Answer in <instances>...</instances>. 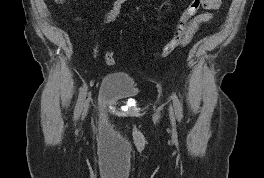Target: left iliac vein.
<instances>
[{
  "label": "left iliac vein",
  "mask_w": 264,
  "mask_h": 178,
  "mask_svg": "<svg viewBox=\"0 0 264 178\" xmlns=\"http://www.w3.org/2000/svg\"><path fill=\"white\" fill-rule=\"evenodd\" d=\"M169 114H170V118L173 120L174 113H173V109L172 108L169 109Z\"/></svg>",
  "instance_id": "4c4485c4"
}]
</instances>
